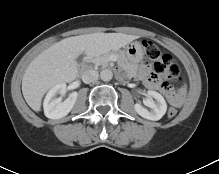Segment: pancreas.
<instances>
[{"label":"pancreas","instance_id":"pancreas-1","mask_svg":"<svg viewBox=\"0 0 219 174\" xmlns=\"http://www.w3.org/2000/svg\"><path fill=\"white\" fill-rule=\"evenodd\" d=\"M111 55H115L117 57V62L121 67H123L124 69H128L129 63L126 56L123 53L119 52H107L103 55L96 56L93 59V62L97 65L107 66L109 63V57Z\"/></svg>","mask_w":219,"mask_h":174}]
</instances>
